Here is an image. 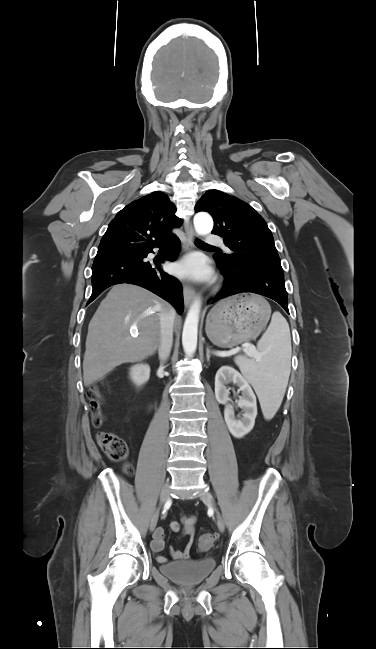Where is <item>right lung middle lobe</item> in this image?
<instances>
[{
  "label": "right lung middle lobe",
  "mask_w": 376,
  "mask_h": 649,
  "mask_svg": "<svg viewBox=\"0 0 376 649\" xmlns=\"http://www.w3.org/2000/svg\"><path fill=\"white\" fill-rule=\"evenodd\" d=\"M125 254L126 255H131V254H134V253H125ZM100 257H104V256H96V258H100Z\"/></svg>",
  "instance_id": "1"
}]
</instances>
